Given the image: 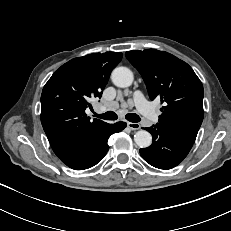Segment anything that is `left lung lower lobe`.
<instances>
[{"mask_svg":"<svg viewBox=\"0 0 231 231\" xmlns=\"http://www.w3.org/2000/svg\"><path fill=\"white\" fill-rule=\"evenodd\" d=\"M153 137L152 144L140 149V155L150 165L159 169L177 166L189 153L193 143L160 124L146 128Z\"/></svg>","mask_w":231,"mask_h":231,"instance_id":"obj_1","label":"left lung lower lobe"}]
</instances>
